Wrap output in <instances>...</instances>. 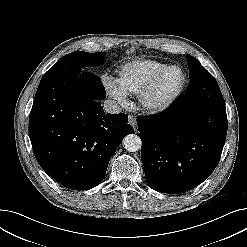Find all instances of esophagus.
Listing matches in <instances>:
<instances>
[{"mask_svg":"<svg viewBox=\"0 0 247 247\" xmlns=\"http://www.w3.org/2000/svg\"><path fill=\"white\" fill-rule=\"evenodd\" d=\"M129 123L136 130L137 124H136V119H135V117L133 115H129Z\"/></svg>","mask_w":247,"mask_h":247,"instance_id":"1","label":"esophagus"}]
</instances>
